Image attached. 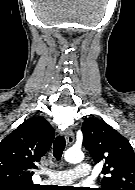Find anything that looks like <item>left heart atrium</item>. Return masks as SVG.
Returning a JSON list of instances; mask_svg holds the SVG:
<instances>
[{
	"label": "left heart atrium",
	"instance_id": "39dd6f15",
	"mask_svg": "<svg viewBox=\"0 0 135 190\" xmlns=\"http://www.w3.org/2000/svg\"><path fill=\"white\" fill-rule=\"evenodd\" d=\"M66 190H80V189L78 187H70V188H68Z\"/></svg>",
	"mask_w": 135,
	"mask_h": 190
}]
</instances>
